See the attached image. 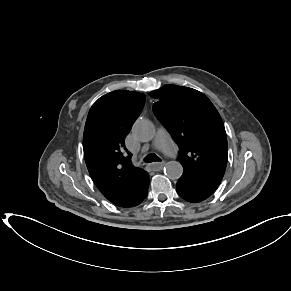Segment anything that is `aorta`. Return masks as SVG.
I'll use <instances>...</instances> for the list:
<instances>
[{"instance_id": "1", "label": "aorta", "mask_w": 291, "mask_h": 291, "mask_svg": "<svg viewBox=\"0 0 291 291\" xmlns=\"http://www.w3.org/2000/svg\"><path fill=\"white\" fill-rule=\"evenodd\" d=\"M133 135L141 142H148L155 135V127L149 120H138L133 126ZM165 173L170 179H179L183 173V167L177 161H169L165 165Z\"/></svg>"}]
</instances>
